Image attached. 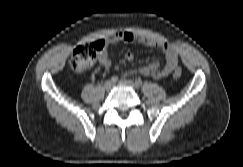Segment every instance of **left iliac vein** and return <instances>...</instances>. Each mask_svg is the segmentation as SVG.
I'll return each mask as SVG.
<instances>
[{
	"instance_id": "left-iliac-vein-1",
	"label": "left iliac vein",
	"mask_w": 243,
	"mask_h": 167,
	"mask_svg": "<svg viewBox=\"0 0 243 167\" xmlns=\"http://www.w3.org/2000/svg\"><path fill=\"white\" fill-rule=\"evenodd\" d=\"M121 85H126V86H130L132 88H135V84L131 81V80H125V79H122L120 80L119 82Z\"/></svg>"
}]
</instances>
